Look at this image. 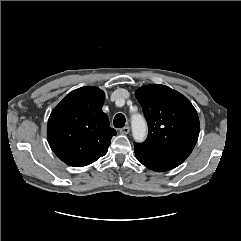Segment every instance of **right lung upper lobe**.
I'll list each match as a JSON object with an SVG mask.
<instances>
[{
    "label": "right lung upper lobe",
    "instance_id": "obj_1",
    "mask_svg": "<svg viewBox=\"0 0 241 241\" xmlns=\"http://www.w3.org/2000/svg\"><path fill=\"white\" fill-rule=\"evenodd\" d=\"M105 94L85 86L69 93L51 112L47 139L53 152L74 167L104 156L116 131L102 111Z\"/></svg>",
    "mask_w": 241,
    "mask_h": 241
}]
</instances>
